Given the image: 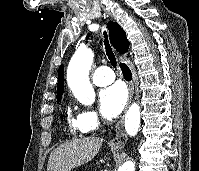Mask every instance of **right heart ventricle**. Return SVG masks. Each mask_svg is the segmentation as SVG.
Here are the masks:
<instances>
[{
  "label": "right heart ventricle",
  "mask_w": 199,
  "mask_h": 171,
  "mask_svg": "<svg viewBox=\"0 0 199 171\" xmlns=\"http://www.w3.org/2000/svg\"><path fill=\"white\" fill-rule=\"evenodd\" d=\"M66 113H67V122H68L71 130L74 133H78V134L84 133V131L80 125L79 116H74L69 107L67 108Z\"/></svg>",
  "instance_id": "e07e8e85"
}]
</instances>
